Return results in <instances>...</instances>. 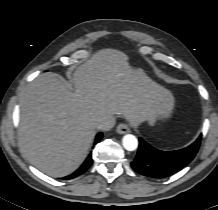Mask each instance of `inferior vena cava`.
Segmentation results:
<instances>
[{
	"label": "inferior vena cava",
	"mask_w": 218,
	"mask_h": 210,
	"mask_svg": "<svg viewBox=\"0 0 218 210\" xmlns=\"http://www.w3.org/2000/svg\"><path fill=\"white\" fill-rule=\"evenodd\" d=\"M115 125V119L113 117L107 118L101 122H99L96 127L99 130L108 131L112 129Z\"/></svg>",
	"instance_id": "obj_1"
}]
</instances>
